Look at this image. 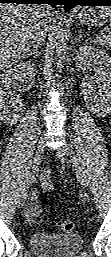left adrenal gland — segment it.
Wrapping results in <instances>:
<instances>
[{
    "instance_id": "left-adrenal-gland-1",
    "label": "left adrenal gland",
    "mask_w": 111,
    "mask_h": 257,
    "mask_svg": "<svg viewBox=\"0 0 111 257\" xmlns=\"http://www.w3.org/2000/svg\"><path fill=\"white\" fill-rule=\"evenodd\" d=\"M83 36L86 37V36H88V34L83 33L82 29L80 28L79 33H78L77 37L75 38V42L79 41Z\"/></svg>"
}]
</instances>
